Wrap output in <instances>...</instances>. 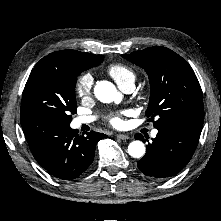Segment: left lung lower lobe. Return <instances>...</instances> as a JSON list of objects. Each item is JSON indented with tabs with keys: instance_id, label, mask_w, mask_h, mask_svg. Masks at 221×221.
Listing matches in <instances>:
<instances>
[{
	"instance_id": "left-lung-lower-lobe-1",
	"label": "left lung lower lobe",
	"mask_w": 221,
	"mask_h": 221,
	"mask_svg": "<svg viewBox=\"0 0 221 221\" xmlns=\"http://www.w3.org/2000/svg\"><path fill=\"white\" fill-rule=\"evenodd\" d=\"M203 123L175 122L158 128L156 138L147 146L144 157L137 162L141 172L153 179L177 174L190 161L199 141ZM136 139L143 140L141 134Z\"/></svg>"
}]
</instances>
